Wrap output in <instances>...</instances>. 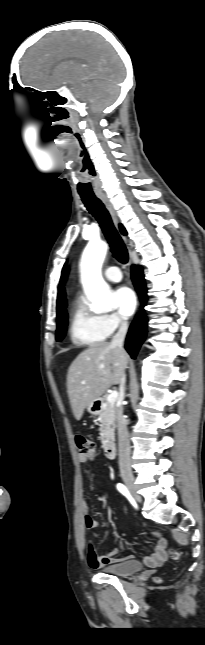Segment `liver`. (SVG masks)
Wrapping results in <instances>:
<instances>
[{
    "mask_svg": "<svg viewBox=\"0 0 205 645\" xmlns=\"http://www.w3.org/2000/svg\"><path fill=\"white\" fill-rule=\"evenodd\" d=\"M128 362L125 350L107 342L92 344L76 357L67 374V393L76 420L108 388L120 384Z\"/></svg>",
    "mask_w": 205,
    "mask_h": 645,
    "instance_id": "6515ba94",
    "label": "liver"
}]
</instances>
